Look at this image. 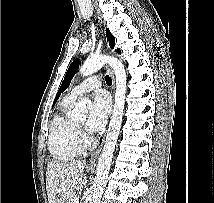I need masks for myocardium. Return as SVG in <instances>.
<instances>
[{
  "label": "myocardium",
  "instance_id": "obj_1",
  "mask_svg": "<svg viewBox=\"0 0 214 203\" xmlns=\"http://www.w3.org/2000/svg\"><path fill=\"white\" fill-rule=\"evenodd\" d=\"M77 141L81 150L90 149L94 145L93 139L81 128L78 129Z\"/></svg>",
  "mask_w": 214,
  "mask_h": 203
}]
</instances>
